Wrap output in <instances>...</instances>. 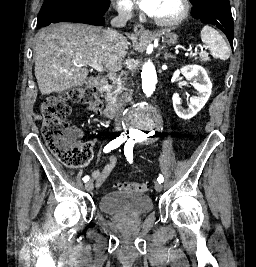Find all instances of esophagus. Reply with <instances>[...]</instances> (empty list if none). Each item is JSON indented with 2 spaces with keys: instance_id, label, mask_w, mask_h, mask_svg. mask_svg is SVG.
Here are the masks:
<instances>
[{
  "instance_id": "1",
  "label": "esophagus",
  "mask_w": 256,
  "mask_h": 267,
  "mask_svg": "<svg viewBox=\"0 0 256 267\" xmlns=\"http://www.w3.org/2000/svg\"><path fill=\"white\" fill-rule=\"evenodd\" d=\"M134 34L149 36L150 32L146 31L141 23H137L136 25H134Z\"/></svg>"
}]
</instances>
